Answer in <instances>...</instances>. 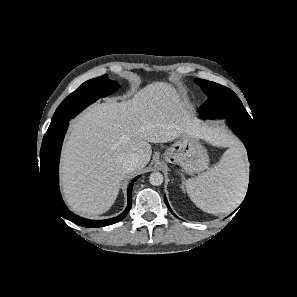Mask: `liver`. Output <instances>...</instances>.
Segmentation results:
<instances>
[{
  "mask_svg": "<svg viewBox=\"0 0 297 297\" xmlns=\"http://www.w3.org/2000/svg\"><path fill=\"white\" fill-rule=\"evenodd\" d=\"M184 135L214 139L165 82L149 84L127 101L94 104L71 123L62 151V191L68 205L83 215L106 212L125 178L127 157L139 156L132 171L138 173L150 161L149 143H167Z\"/></svg>",
  "mask_w": 297,
  "mask_h": 297,
  "instance_id": "liver-1",
  "label": "liver"
}]
</instances>
